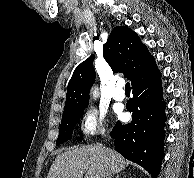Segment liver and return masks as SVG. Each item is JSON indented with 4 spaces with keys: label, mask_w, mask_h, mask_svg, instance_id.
<instances>
[{
    "label": "liver",
    "mask_w": 194,
    "mask_h": 178,
    "mask_svg": "<svg viewBox=\"0 0 194 178\" xmlns=\"http://www.w3.org/2000/svg\"><path fill=\"white\" fill-rule=\"evenodd\" d=\"M129 162L119 153L101 145H87L65 151L56 157L47 178H102L105 167L119 173Z\"/></svg>",
    "instance_id": "liver-1"
}]
</instances>
